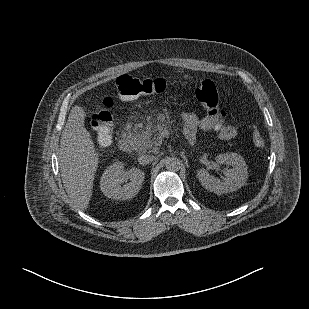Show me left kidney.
I'll return each mask as SVG.
<instances>
[{
    "label": "left kidney",
    "mask_w": 309,
    "mask_h": 309,
    "mask_svg": "<svg viewBox=\"0 0 309 309\" xmlns=\"http://www.w3.org/2000/svg\"><path fill=\"white\" fill-rule=\"evenodd\" d=\"M216 162L220 164H229L232 168L224 171L225 177L223 180L212 176L204 168L199 169L197 171V178L205 189L217 195H221L236 191L246 183L248 178V167L242 156L233 152L219 154L216 157Z\"/></svg>",
    "instance_id": "1"
}]
</instances>
